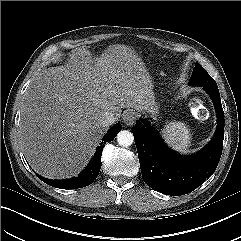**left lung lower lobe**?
<instances>
[{"label": "left lung lower lobe", "mask_w": 241, "mask_h": 241, "mask_svg": "<svg viewBox=\"0 0 241 241\" xmlns=\"http://www.w3.org/2000/svg\"><path fill=\"white\" fill-rule=\"evenodd\" d=\"M214 102L218 125L211 142L200 152L183 157L171 151L150 125L137 121L132 132L144 182L166 195L180 196L199 187L214 173L223 148L224 112L218 87H203Z\"/></svg>", "instance_id": "0a47b994"}]
</instances>
